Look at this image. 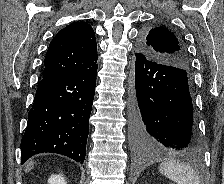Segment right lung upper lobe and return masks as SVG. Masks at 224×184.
<instances>
[{
	"label": "right lung upper lobe",
	"instance_id": "cb5924a9",
	"mask_svg": "<svg viewBox=\"0 0 224 184\" xmlns=\"http://www.w3.org/2000/svg\"><path fill=\"white\" fill-rule=\"evenodd\" d=\"M97 62V44L93 28L78 22L60 30L49 44L43 78L76 73Z\"/></svg>",
	"mask_w": 224,
	"mask_h": 184
}]
</instances>
